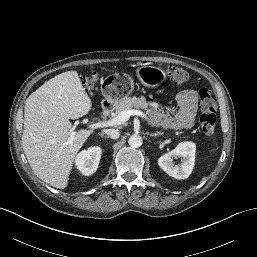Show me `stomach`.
Listing matches in <instances>:
<instances>
[{
	"label": "stomach",
	"mask_w": 257,
	"mask_h": 257,
	"mask_svg": "<svg viewBox=\"0 0 257 257\" xmlns=\"http://www.w3.org/2000/svg\"><path fill=\"white\" fill-rule=\"evenodd\" d=\"M136 74L142 84L148 88L157 87L166 77L163 69L157 66L144 64L137 68ZM133 90V81L127 77L111 76L101 85L104 96L103 106H117L123 99L127 98Z\"/></svg>",
	"instance_id": "1"
}]
</instances>
